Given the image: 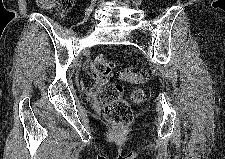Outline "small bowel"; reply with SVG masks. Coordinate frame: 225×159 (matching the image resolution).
Here are the masks:
<instances>
[{"label": "small bowel", "mask_w": 225, "mask_h": 159, "mask_svg": "<svg viewBox=\"0 0 225 159\" xmlns=\"http://www.w3.org/2000/svg\"><path fill=\"white\" fill-rule=\"evenodd\" d=\"M86 67L88 68V69H92V64L90 63V62H88L87 64H86ZM100 81H98L96 84H94V85H91V86H89V85H87L85 82H83V81H81L79 84H80V87H81V89L85 92V93H87V94H89V95H92V94H94L95 92H96V90H97V88H98V83H99Z\"/></svg>", "instance_id": "1"}]
</instances>
